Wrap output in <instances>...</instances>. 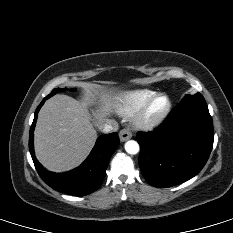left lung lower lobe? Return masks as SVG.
<instances>
[{
  "label": "left lung lower lobe",
  "instance_id": "left-lung-lower-lobe-1",
  "mask_svg": "<svg viewBox=\"0 0 233 233\" xmlns=\"http://www.w3.org/2000/svg\"><path fill=\"white\" fill-rule=\"evenodd\" d=\"M140 169L148 183L171 187L197 175L206 164L214 140L205 99L181 101L163 124L136 135Z\"/></svg>",
  "mask_w": 233,
  "mask_h": 233
}]
</instances>
